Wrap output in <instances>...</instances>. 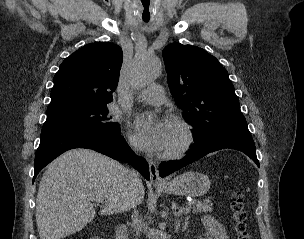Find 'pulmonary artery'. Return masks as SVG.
I'll list each match as a JSON object with an SVG mask.
<instances>
[{"mask_svg": "<svg viewBox=\"0 0 304 239\" xmlns=\"http://www.w3.org/2000/svg\"><path fill=\"white\" fill-rule=\"evenodd\" d=\"M137 99L151 105H160L165 101L164 90L161 85L152 84L141 91L138 94Z\"/></svg>", "mask_w": 304, "mask_h": 239, "instance_id": "pulmonary-artery-1", "label": "pulmonary artery"}]
</instances>
